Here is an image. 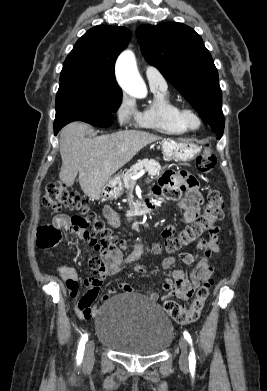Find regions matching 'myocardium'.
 <instances>
[{
    "instance_id": "f54148a6",
    "label": "myocardium",
    "mask_w": 267,
    "mask_h": 391,
    "mask_svg": "<svg viewBox=\"0 0 267 391\" xmlns=\"http://www.w3.org/2000/svg\"><path fill=\"white\" fill-rule=\"evenodd\" d=\"M180 117L190 130H198L202 126L203 121L200 114L191 107L180 108Z\"/></svg>"
}]
</instances>
